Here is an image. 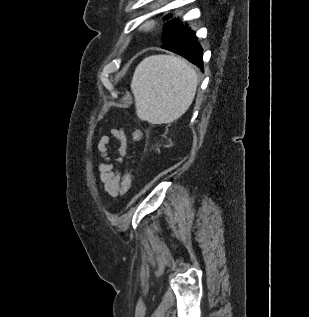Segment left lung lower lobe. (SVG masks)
I'll return each mask as SVG.
<instances>
[{
  "label": "left lung lower lobe",
  "mask_w": 309,
  "mask_h": 317,
  "mask_svg": "<svg viewBox=\"0 0 309 317\" xmlns=\"http://www.w3.org/2000/svg\"><path fill=\"white\" fill-rule=\"evenodd\" d=\"M183 56L203 70V49L197 41L195 31L186 27L181 33L161 46Z\"/></svg>",
  "instance_id": "0a47b994"
}]
</instances>
